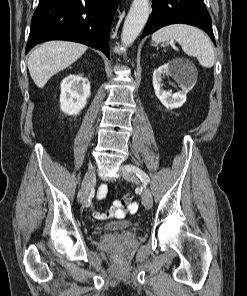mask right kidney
I'll use <instances>...</instances> for the list:
<instances>
[{
    "label": "right kidney",
    "instance_id": "obj_1",
    "mask_svg": "<svg viewBox=\"0 0 247 296\" xmlns=\"http://www.w3.org/2000/svg\"><path fill=\"white\" fill-rule=\"evenodd\" d=\"M90 97V83L87 78L70 74L61 83L60 108L68 115H77Z\"/></svg>",
    "mask_w": 247,
    "mask_h": 296
}]
</instances>
